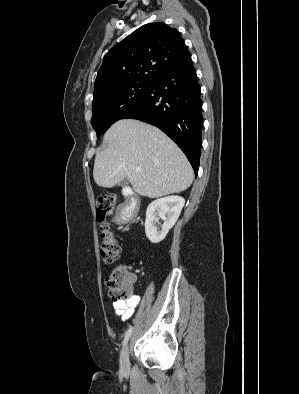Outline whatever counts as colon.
I'll list each match as a JSON object with an SVG mask.
<instances>
[{
    "label": "colon",
    "mask_w": 299,
    "mask_h": 394,
    "mask_svg": "<svg viewBox=\"0 0 299 394\" xmlns=\"http://www.w3.org/2000/svg\"><path fill=\"white\" fill-rule=\"evenodd\" d=\"M116 197L112 194L100 195L96 200V215L101 223L102 243L99 248L103 265L115 263L120 256V245L115 233L104 224V220L114 212ZM134 275L129 265H120L112 272L107 280V286L115 301H127L132 298Z\"/></svg>",
    "instance_id": "5ec220e1"
}]
</instances>
